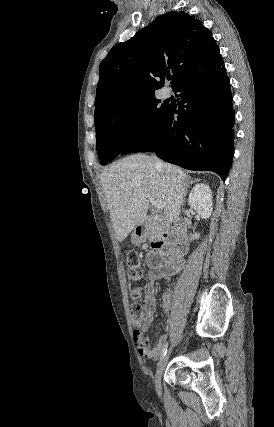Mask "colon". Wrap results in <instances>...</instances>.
Instances as JSON below:
<instances>
[{
    "mask_svg": "<svg viewBox=\"0 0 274 427\" xmlns=\"http://www.w3.org/2000/svg\"><path fill=\"white\" fill-rule=\"evenodd\" d=\"M140 255L131 252L128 258V288L133 296H137L141 289L145 286V279L143 271L139 268ZM142 307L139 303H132L130 306V313L132 318L140 319L142 317Z\"/></svg>",
    "mask_w": 274,
    "mask_h": 427,
    "instance_id": "obj_1",
    "label": "colon"
}]
</instances>
